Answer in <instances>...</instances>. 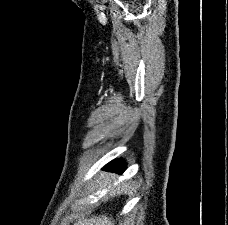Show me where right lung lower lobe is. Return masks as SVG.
<instances>
[{
  "label": "right lung lower lobe",
  "mask_w": 228,
  "mask_h": 225,
  "mask_svg": "<svg viewBox=\"0 0 228 225\" xmlns=\"http://www.w3.org/2000/svg\"><path fill=\"white\" fill-rule=\"evenodd\" d=\"M125 162L123 160H114L104 167L105 170L115 171L117 173H122L125 169Z\"/></svg>",
  "instance_id": "1"
}]
</instances>
